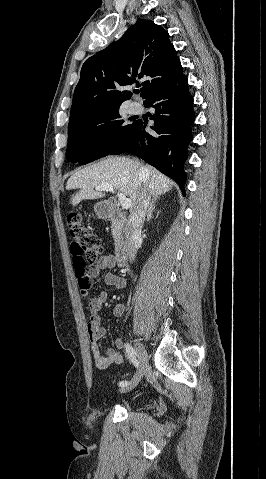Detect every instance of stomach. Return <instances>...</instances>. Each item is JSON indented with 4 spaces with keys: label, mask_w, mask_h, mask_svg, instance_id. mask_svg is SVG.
Here are the masks:
<instances>
[{
    "label": "stomach",
    "mask_w": 266,
    "mask_h": 479,
    "mask_svg": "<svg viewBox=\"0 0 266 479\" xmlns=\"http://www.w3.org/2000/svg\"><path fill=\"white\" fill-rule=\"evenodd\" d=\"M94 211L99 218H108L111 212V207L107 202H99L94 206Z\"/></svg>",
    "instance_id": "obj_1"
}]
</instances>
